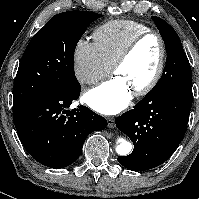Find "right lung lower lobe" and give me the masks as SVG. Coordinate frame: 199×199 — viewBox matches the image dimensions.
<instances>
[{
	"instance_id": "1",
	"label": "right lung lower lobe",
	"mask_w": 199,
	"mask_h": 199,
	"mask_svg": "<svg viewBox=\"0 0 199 199\" xmlns=\"http://www.w3.org/2000/svg\"><path fill=\"white\" fill-rule=\"evenodd\" d=\"M80 91L46 95L13 111L19 138L39 163L50 168L72 164L80 156L86 137L105 129L106 119L89 108L80 105L68 110Z\"/></svg>"
}]
</instances>
